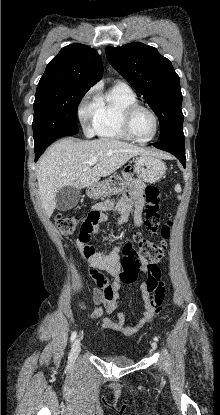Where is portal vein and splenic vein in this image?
Returning a JSON list of instances; mask_svg holds the SVG:
<instances>
[{"label":"portal vein and splenic vein","instance_id":"18ae733b","mask_svg":"<svg viewBox=\"0 0 220 415\" xmlns=\"http://www.w3.org/2000/svg\"><path fill=\"white\" fill-rule=\"evenodd\" d=\"M88 163H89L90 165H94V164H96V163H97V158H95V157L90 158V159H89V161H88Z\"/></svg>","mask_w":220,"mask_h":415}]
</instances>
